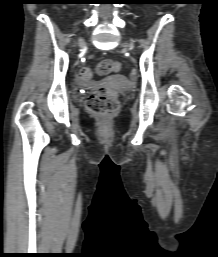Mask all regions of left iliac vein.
Wrapping results in <instances>:
<instances>
[{
  "mask_svg": "<svg viewBox=\"0 0 218 257\" xmlns=\"http://www.w3.org/2000/svg\"><path fill=\"white\" fill-rule=\"evenodd\" d=\"M124 46H125V47H129L130 49H132V48H133V47H132V45L127 44V43H125V44H124Z\"/></svg>",
  "mask_w": 218,
  "mask_h": 257,
  "instance_id": "1",
  "label": "left iliac vein"
}]
</instances>
